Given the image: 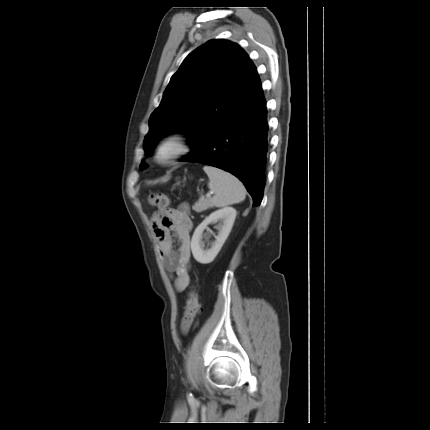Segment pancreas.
<instances>
[{
	"instance_id": "pancreas-1",
	"label": "pancreas",
	"mask_w": 430,
	"mask_h": 430,
	"mask_svg": "<svg viewBox=\"0 0 430 430\" xmlns=\"http://www.w3.org/2000/svg\"><path fill=\"white\" fill-rule=\"evenodd\" d=\"M211 207V204H210V199L209 198H207V199H204V198H201L198 202H196L193 206H192V209L195 211V212H202V211H205V210H207L208 208H210Z\"/></svg>"
}]
</instances>
